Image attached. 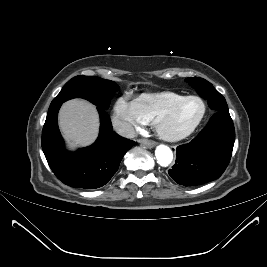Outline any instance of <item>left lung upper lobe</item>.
I'll use <instances>...</instances> for the list:
<instances>
[{"mask_svg": "<svg viewBox=\"0 0 267 267\" xmlns=\"http://www.w3.org/2000/svg\"><path fill=\"white\" fill-rule=\"evenodd\" d=\"M192 87L195 88L197 93L204 99L208 101V105L211 109L218 110H228L227 103L224 97L217 92L213 85L202 78H186L185 79Z\"/></svg>", "mask_w": 267, "mask_h": 267, "instance_id": "1", "label": "left lung upper lobe"}]
</instances>
